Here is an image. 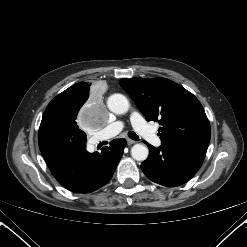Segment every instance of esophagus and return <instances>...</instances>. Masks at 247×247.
Listing matches in <instances>:
<instances>
[{"label":"esophagus","mask_w":247,"mask_h":247,"mask_svg":"<svg viewBox=\"0 0 247 247\" xmlns=\"http://www.w3.org/2000/svg\"><path fill=\"white\" fill-rule=\"evenodd\" d=\"M134 143H136V141H134V140H132V139H127V144L128 145H132V144H134Z\"/></svg>","instance_id":"1"}]
</instances>
